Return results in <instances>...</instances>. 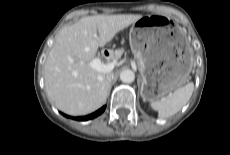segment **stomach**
Listing matches in <instances>:
<instances>
[{
	"mask_svg": "<svg viewBox=\"0 0 230 155\" xmlns=\"http://www.w3.org/2000/svg\"><path fill=\"white\" fill-rule=\"evenodd\" d=\"M129 42L142 76L144 100L158 101L188 81L193 50L183 29L170 18L142 16L132 24Z\"/></svg>",
	"mask_w": 230,
	"mask_h": 155,
	"instance_id": "0dacf381",
	"label": "stomach"
}]
</instances>
